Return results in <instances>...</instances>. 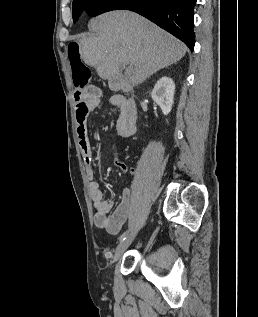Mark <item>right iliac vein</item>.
Returning <instances> with one entry per match:
<instances>
[{"mask_svg": "<svg viewBox=\"0 0 258 317\" xmlns=\"http://www.w3.org/2000/svg\"><path fill=\"white\" fill-rule=\"evenodd\" d=\"M135 230V231H134ZM137 234V229H132L131 233L127 234L126 239H123L120 244L116 247L115 250V256L114 260L112 261L113 263L115 261H119V258L122 257V254H124V251L126 250L128 245H131L132 242H134V236Z\"/></svg>", "mask_w": 258, "mask_h": 317, "instance_id": "63e3f726", "label": "right iliac vein"}]
</instances>
